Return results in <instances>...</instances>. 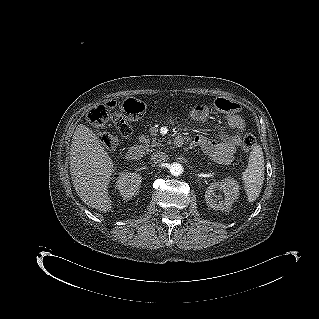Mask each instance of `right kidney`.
<instances>
[{
    "instance_id": "1",
    "label": "right kidney",
    "mask_w": 319,
    "mask_h": 319,
    "mask_svg": "<svg viewBox=\"0 0 319 319\" xmlns=\"http://www.w3.org/2000/svg\"><path fill=\"white\" fill-rule=\"evenodd\" d=\"M117 183H118L117 186H118L119 189H124L125 188V183H126L125 180H119ZM136 190H137V188L132 189V191L130 193H126L125 192L124 194L128 198V197H130L129 195L133 196L135 194Z\"/></svg>"
}]
</instances>
